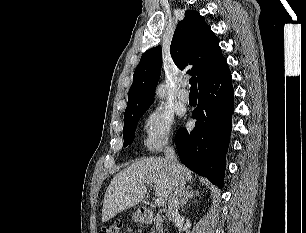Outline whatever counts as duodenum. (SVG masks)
<instances>
[{
    "mask_svg": "<svg viewBox=\"0 0 306 233\" xmlns=\"http://www.w3.org/2000/svg\"><path fill=\"white\" fill-rule=\"evenodd\" d=\"M140 216L143 223L149 224L152 223L154 220L153 212L148 208H141L140 209Z\"/></svg>",
    "mask_w": 306,
    "mask_h": 233,
    "instance_id": "duodenum-1",
    "label": "duodenum"
}]
</instances>
